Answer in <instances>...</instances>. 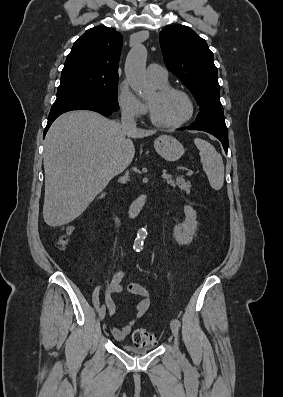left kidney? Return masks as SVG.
Here are the masks:
<instances>
[{"mask_svg": "<svg viewBox=\"0 0 283 397\" xmlns=\"http://www.w3.org/2000/svg\"><path fill=\"white\" fill-rule=\"evenodd\" d=\"M185 221L174 228V238L179 245H188L192 242L197 229L196 211L189 205L184 206Z\"/></svg>", "mask_w": 283, "mask_h": 397, "instance_id": "obj_1", "label": "left kidney"}]
</instances>
